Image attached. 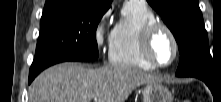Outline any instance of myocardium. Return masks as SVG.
I'll return each mask as SVG.
<instances>
[{"instance_id":"1","label":"myocardium","mask_w":221,"mask_h":102,"mask_svg":"<svg viewBox=\"0 0 221 102\" xmlns=\"http://www.w3.org/2000/svg\"><path fill=\"white\" fill-rule=\"evenodd\" d=\"M160 31L166 32L171 38L174 46V55L168 63L158 62L152 53L153 40L156 34ZM140 51L144 60L154 68H167L171 66L178 58L179 55V42L174 32L169 26L160 21H154L147 24L140 35Z\"/></svg>"}]
</instances>
